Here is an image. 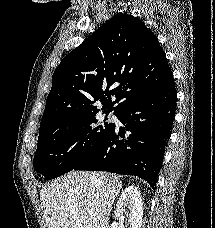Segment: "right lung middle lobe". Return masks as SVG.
Masks as SVG:
<instances>
[{
	"label": "right lung middle lobe",
	"mask_w": 215,
	"mask_h": 228,
	"mask_svg": "<svg viewBox=\"0 0 215 228\" xmlns=\"http://www.w3.org/2000/svg\"><path fill=\"white\" fill-rule=\"evenodd\" d=\"M104 113L107 116L109 112ZM95 115L41 128L33 161L36 171L49 180L61 176L73 170L105 140L115 124L96 125Z\"/></svg>",
	"instance_id": "dd1d6c3e"
}]
</instances>
